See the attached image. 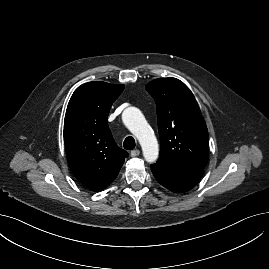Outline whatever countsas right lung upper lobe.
<instances>
[{
	"label": "right lung upper lobe",
	"instance_id": "cb5924a9",
	"mask_svg": "<svg viewBox=\"0 0 269 269\" xmlns=\"http://www.w3.org/2000/svg\"><path fill=\"white\" fill-rule=\"evenodd\" d=\"M124 85L89 82L79 86L68 103L64 142L76 179L92 190L106 188L118 175L128 153L115 143L107 118Z\"/></svg>",
	"mask_w": 269,
	"mask_h": 269
}]
</instances>
